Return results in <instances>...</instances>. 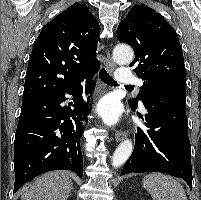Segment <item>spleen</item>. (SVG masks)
<instances>
[{
    "instance_id": "3e777b00",
    "label": "spleen",
    "mask_w": 201,
    "mask_h": 200,
    "mask_svg": "<svg viewBox=\"0 0 201 200\" xmlns=\"http://www.w3.org/2000/svg\"><path fill=\"white\" fill-rule=\"evenodd\" d=\"M143 187L153 200H187L182 185L173 177L150 173L143 179Z\"/></svg>"
}]
</instances>
